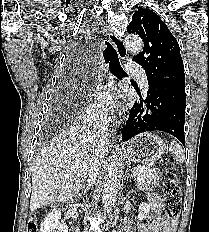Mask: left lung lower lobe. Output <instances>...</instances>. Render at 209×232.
Listing matches in <instances>:
<instances>
[{"label": "left lung lower lobe", "mask_w": 209, "mask_h": 232, "mask_svg": "<svg viewBox=\"0 0 209 232\" xmlns=\"http://www.w3.org/2000/svg\"><path fill=\"white\" fill-rule=\"evenodd\" d=\"M185 94L169 89L149 88L144 101L135 102L122 130V140L148 131H163L185 147Z\"/></svg>", "instance_id": "left-lung-lower-lobe-1"}]
</instances>
